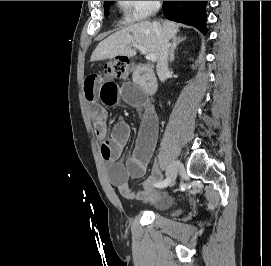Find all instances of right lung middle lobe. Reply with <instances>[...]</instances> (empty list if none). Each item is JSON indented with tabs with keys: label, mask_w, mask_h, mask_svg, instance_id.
<instances>
[{
	"label": "right lung middle lobe",
	"mask_w": 271,
	"mask_h": 266,
	"mask_svg": "<svg viewBox=\"0 0 271 266\" xmlns=\"http://www.w3.org/2000/svg\"><path fill=\"white\" fill-rule=\"evenodd\" d=\"M112 2H113V1H104V11H105V14L108 13L109 8H110Z\"/></svg>",
	"instance_id": "right-lung-middle-lobe-1"
}]
</instances>
